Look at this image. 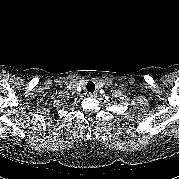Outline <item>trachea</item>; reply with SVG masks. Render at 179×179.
I'll return each instance as SVG.
<instances>
[{
	"instance_id": "1",
	"label": "trachea",
	"mask_w": 179,
	"mask_h": 179,
	"mask_svg": "<svg viewBox=\"0 0 179 179\" xmlns=\"http://www.w3.org/2000/svg\"><path fill=\"white\" fill-rule=\"evenodd\" d=\"M86 89L88 92L93 93L95 90V84L92 81L87 83Z\"/></svg>"
}]
</instances>
